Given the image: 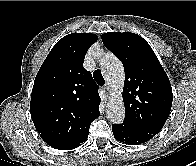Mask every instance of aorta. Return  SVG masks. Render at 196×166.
<instances>
[{"instance_id":"1","label":"aorta","mask_w":196,"mask_h":166,"mask_svg":"<svg viewBox=\"0 0 196 166\" xmlns=\"http://www.w3.org/2000/svg\"><path fill=\"white\" fill-rule=\"evenodd\" d=\"M106 82L112 91L107 103V118L114 124H120L125 118V106L122 99L125 73L122 62L112 53H106L100 61Z\"/></svg>"}]
</instances>
